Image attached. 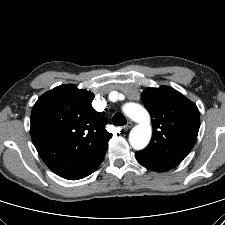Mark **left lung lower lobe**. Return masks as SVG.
<instances>
[{
	"label": "left lung lower lobe",
	"mask_w": 225,
	"mask_h": 225,
	"mask_svg": "<svg viewBox=\"0 0 225 225\" xmlns=\"http://www.w3.org/2000/svg\"><path fill=\"white\" fill-rule=\"evenodd\" d=\"M136 159H137V161H138L142 166L146 167V168L149 169V170H152V171H155V172H165V171H168L167 169L161 168V167H159V166H157V165H154V164H152L151 162H149V161H147V160L141 158V157L138 156L137 154H136Z\"/></svg>",
	"instance_id": "0a47b994"
}]
</instances>
